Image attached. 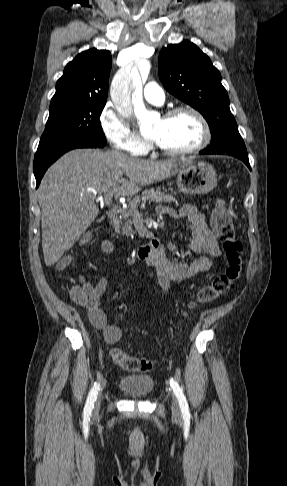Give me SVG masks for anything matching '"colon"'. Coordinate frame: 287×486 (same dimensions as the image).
<instances>
[{"mask_svg":"<svg viewBox=\"0 0 287 486\" xmlns=\"http://www.w3.org/2000/svg\"><path fill=\"white\" fill-rule=\"evenodd\" d=\"M211 226L223 244L227 266L223 273L215 276L209 284L201 288L195 302L190 305L191 308L197 304L213 302L227 293L241 277L243 271L242 244L236 237L232 218L222 202H219L213 210ZM88 239L89 236H86L84 241ZM70 261V257L62 258L56 264L57 269L64 270ZM70 294L78 304L84 305L87 302V296L81 286L73 287ZM111 357L119 367L131 372H148L153 366L151 360L129 356L118 348L111 351Z\"/></svg>","mask_w":287,"mask_h":486,"instance_id":"5ec220e1","label":"colon"}]
</instances>
